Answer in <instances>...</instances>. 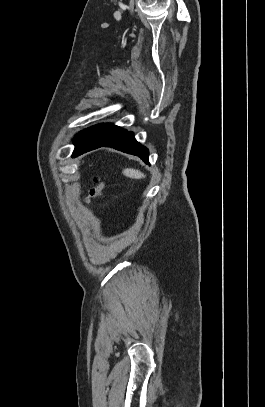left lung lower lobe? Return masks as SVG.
<instances>
[{"label": "left lung lower lobe", "instance_id": "0a47b994", "mask_svg": "<svg viewBox=\"0 0 265 407\" xmlns=\"http://www.w3.org/2000/svg\"><path fill=\"white\" fill-rule=\"evenodd\" d=\"M102 146L112 147V148H115L122 152L136 155V156L140 157L145 163H149L148 162V156H149L148 149L136 141L132 132H127L126 130L105 143H100L97 145H93L90 148L73 152L72 156L77 157L85 152H88L93 149H97Z\"/></svg>", "mask_w": 265, "mask_h": 407}]
</instances>
